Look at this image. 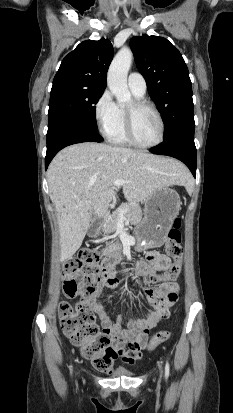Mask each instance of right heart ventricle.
<instances>
[{"mask_svg":"<svg viewBox=\"0 0 233 413\" xmlns=\"http://www.w3.org/2000/svg\"><path fill=\"white\" fill-rule=\"evenodd\" d=\"M135 97L138 99L141 98L137 95H135ZM106 137L109 142L115 145L128 146L131 144L127 139L125 131V108L118 106L115 125L106 135Z\"/></svg>","mask_w":233,"mask_h":413,"instance_id":"e07e8e85","label":"right heart ventricle"}]
</instances>
